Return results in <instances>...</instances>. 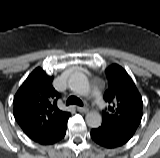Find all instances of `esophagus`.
<instances>
[{
  "instance_id": "esophagus-1",
  "label": "esophagus",
  "mask_w": 160,
  "mask_h": 158,
  "mask_svg": "<svg viewBox=\"0 0 160 158\" xmlns=\"http://www.w3.org/2000/svg\"><path fill=\"white\" fill-rule=\"evenodd\" d=\"M77 110L79 111V112H81V113H86V112H88V107L87 106H83V107H80V106H78L77 107Z\"/></svg>"
}]
</instances>
